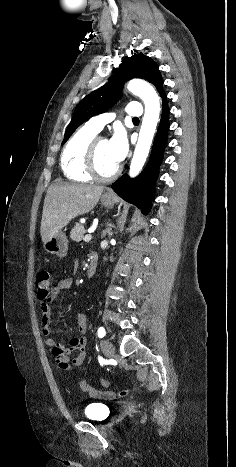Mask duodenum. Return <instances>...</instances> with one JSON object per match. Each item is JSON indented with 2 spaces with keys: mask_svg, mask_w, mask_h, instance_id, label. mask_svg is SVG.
Wrapping results in <instances>:
<instances>
[{
  "mask_svg": "<svg viewBox=\"0 0 236 467\" xmlns=\"http://www.w3.org/2000/svg\"><path fill=\"white\" fill-rule=\"evenodd\" d=\"M97 271V263H96V260L95 259H91L89 264H88V268H87V275L89 277H92L95 275Z\"/></svg>",
  "mask_w": 236,
  "mask_h": 467,
  "instance_id": "obj_1",
  "label": "duodenum"
}]
</instances>
